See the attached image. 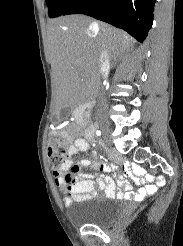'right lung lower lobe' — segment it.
<instances>
[{"mask_svg": "<svg viewBox=\"0 0 183 246\" xmlns=\"http://www.w3.org/2000/svg\"><path fill=\"white\" fill-rule=\"evenodd\" d=\"M155 0H75L62 14H84L127 31L143 42L153 23Z\"/></svg>", "mask_w": 183, "mask_h": 246, "instance_id": "right-lung-lower-lobe-1", "label": "right lung lower lobe"}]
</instances>
